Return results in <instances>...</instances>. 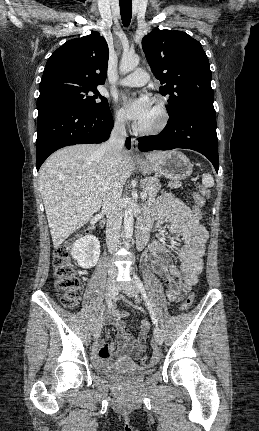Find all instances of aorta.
<instances>
[{"instance_id": "obj_1", "label": "aorta", "mask_w": 259, "mask_h": 431, "mask_svg": "<svg viewBox=\"0 0 259 431\" xmlns=\"http://www.w3.org/2000/svg\"><path fill=\"white\" fill-rule=\"evenodd\" d=\"M139 61L140 59L138 55L124 54L122 56L120 66H119L120 73L125 75L131 72L137 67V65L139 64ZM133 223H134L133 209L132 207H128L124 214V233H125V238L128 241L131 239L133 235Z\"/></svg>"}]
</instances>
